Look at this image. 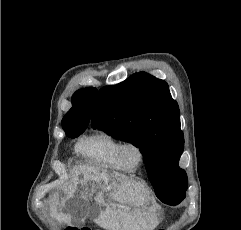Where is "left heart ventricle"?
Returning a JSON list of instances; mask_svg holds the SVG:
<instances>
[{
	"label": "left heart ventricle",
	"instance_id": "1",
	"mask_svg": "<svg viewBox=\"0 0 241 230\" xmlns=\"http://www.w3.org/2000/svg\"><path fill=\"white\" fill-rule=\"evenodd\" d=\"M127 159L132 165H136L139 160V154L135 149L129 150L127 153Z\"/></svg>",
	"mask_w": 241,
	"mask_h": 230
}]
</instances>
